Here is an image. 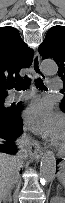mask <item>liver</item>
<instances>
[{
	"mask_svg": "<svg viewBox=\"0 0 65 203\" xmlns=\"http://www.w3.org/2000/svg\"><path fill=\"white\" fill-rule=\"evenodd\" d=\"M17 170L16 156L0 153V199L7 198Z\"/></svg>",
	"mask_w": 65,
	"mask_h": 203,
	"instance_id": "1",
	"label": "liver"
}]
</instances>
